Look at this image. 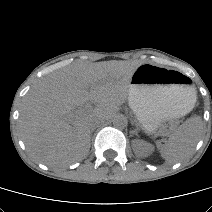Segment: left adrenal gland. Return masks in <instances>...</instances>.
I'll use <instances>...</instances> for the list:
<instances>
[{
    "mask_svg": "<svg viewBox=\"0 0 212 212\" xmlns=\"http://www.w3.org/2000/svg\"><path fill=\"white\" fill-rule=\"evenodd\" d=\"M131 133H135L137 135V130H132Z\"/></svg>",
    "mask_w": 212,
    "mask_h": 212,
    "instance_id": "obj_1",
    "label": "left adrenal gland"
}]
</instances>
